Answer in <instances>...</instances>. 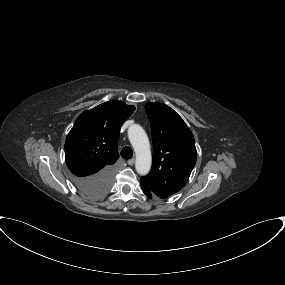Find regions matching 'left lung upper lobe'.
Returning a JSON list of instances; mask_svg holds the SVG:
<instances>
[{"label": "left lung upper lobe", "mask_w": 285, "mask_h": 285, "mask_svg": "<svg viewBox=\"0 0 285 285\" xmlns=\"http://www.w3.org/2000/svg\"><path fill=\"white\" fill-rule=\"evenodd\" d=\"M145 110L151 124L153 164L141 182L158 197L167 198L186 184L195 166V141L185 122L169 106L147 103Z\"/></svg>", "instance_id": "5c2ea615"}]
</instances>
